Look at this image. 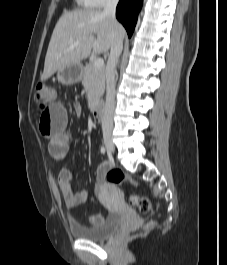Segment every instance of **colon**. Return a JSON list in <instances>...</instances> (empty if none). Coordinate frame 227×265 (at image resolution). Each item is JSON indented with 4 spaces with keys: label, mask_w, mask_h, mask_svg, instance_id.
Segmentation results:
<instances>
[{
    "label": "colon",
    "mask_w": 227,
    "mask_h": 265,
    "mask_svg": "<svg viewBox=\"0 0 227 265\" xmlns=\"http://www.w3.org/2000/svg\"><path fill=\"white\" fill-rule=\"evenodd\" d=\"M35 96L39 104V110L41 112V109H45V106H47V102H49V100L52 98L53 93L49 86L40 83L36 86ZM105 176H106V180L112 184L122 185L126 182L137 184L134 178L124 174L123 172L119 170H109L107 171ZM129 203L132 206L137 207L138 210L142 213L148 212L151 207V204L147 198L139 197L137 195H130ZM154 225H155L154 222H150L146 225L145 228L146 230H150L154 227Z\"/></svg>",
    "instance_id": "5ec220e1"
}]
</instances>
